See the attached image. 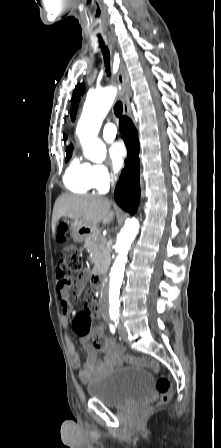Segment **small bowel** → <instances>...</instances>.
<instances>
[{
	"label": "small bowel",
	"mask_w": 221,
	"mask_h": 448,
	"mask_svg": "<svg viewBox=\"0 0 221 448\" xmlns=\"http://www.w3.org/2000/svg\"><path fill=\"white\" fill-rule=\"evenodd\" d=\"M86 278V272H83L72 281L71 290L75 296L78 297L81 295ZM58 294L62 309V324L67 327L72 314L69 292L64 289H58ZM98 313L97 305L92 308L87 299L85 309L79 312L72 322L73 329L80 336V343L84 346L87 353L85 361L80 356L76 345L67 338V350L72 365L77 369L78 376L84 383L90 382L112 368L120 367L124 362V350L121 346L109 340L100 326H94L90 329L91 319L98 316ZM88 326L89 329H87ZM90 336H93L92 343H89ZM99 351L104 353L102 359L98 358Z\"/></svg>",
	"instance_id": "c3829d8e"
}]
</instances>
